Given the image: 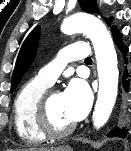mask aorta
<instances>
[{
	"label": "aorta",
	"instance_id": "762f6f07",
	"mask_svg": "<svg viewBox=\"0 0 131 151\" xmlns=\"http://www.w3.org/2000/svg\"><path fill=\"white\" fill-rule=\"evenodd\" d=\"M61 30L65 34L83 33L90 38L94 46L99 90L93 113V124L99 129L108 121L117 97L119 70L113 40L99 19L85 13L75 14L65 19Z\"/></svg>",
	"mask_w": 131,
	"mask_h": 151
}]
</instances>
